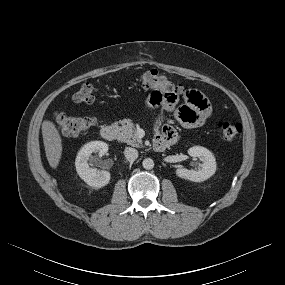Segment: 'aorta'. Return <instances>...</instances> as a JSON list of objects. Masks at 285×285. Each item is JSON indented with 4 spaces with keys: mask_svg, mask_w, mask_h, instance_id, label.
Masks as SVG:
<instances>
[{
    "mask_svg": "<svg viewBox=\"0 0 285 285\" xmlns=\"http://www.w3.org/2000/svg\"><path fill=\"white\" fill-rule=\"evenodd\" d=\"M143 168L146 170H151L154 167V161L151 158H146L142 162Z\"/></svg>",
    "mask_w": 285,
    "mask_h": 285,
    "instance_id": "aorta-1",
    "label": "aorta"
}]
</instances>
